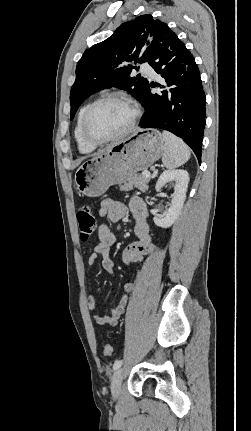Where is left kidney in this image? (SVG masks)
Here are the masks:
<instances>
[{
	"label": "left kidney",
	"mask_w": 251,
	"mask_h": 431,
	"mask_svg": "<svg viewBox=\"0 0 251 431\" xmlns=\"http://www.w3.org/2000/svg\"><path fill=\"white\" fill-rule=\"evenodd\" d=\"M169 182H174V192L172 194L171 205L168 211L161 218H153L154 223L158 227L162 228L170 227L177 220L186 199L189 174L187 171L182 169H170L164 171L157 180L155 186L156 191H160L161 188Z\"/></svg>",
	"instance_id": "1"
}]
</instances>
